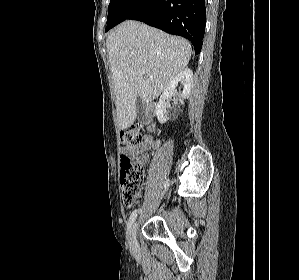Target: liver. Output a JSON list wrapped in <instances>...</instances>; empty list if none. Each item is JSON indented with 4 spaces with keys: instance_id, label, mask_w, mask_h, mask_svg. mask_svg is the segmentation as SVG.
<instances>
[{
    "instance_id": "1",
    "label": "liver",
    "mask_w": 299,
    "mask_h": 280,
    "mask_svg": "<svg viewBox=\"0 0 299 280\" xmlns=\"http://www.w3.org/2000/svg\"><path fill=\"white\" fill-rule=\"evenodd\" d=\"M106 44L123 130L135 122L137 97L146 104L156 99L188 65L192 49L187 40L134 20L121 23Z\"/></svg>"
}]
</instances>
